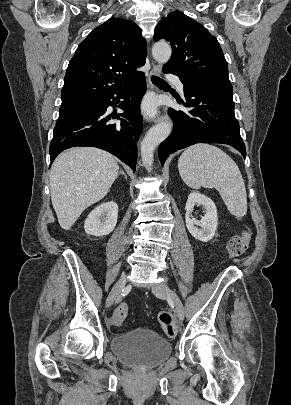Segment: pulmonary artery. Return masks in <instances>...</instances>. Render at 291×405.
<instances>
[{"instance_id": "1", "label": "pulmonary artery", "mask_w": 291, "mask_h": 405, "mask_svg": "<svg viewBox=\"0 0 291 405\" xmlns=\"http://www.w3.org/2000/svg\"><path fill=\"white\" fill-rule=\"evenodd\" d=\"M166 77L168 80L172 81L176 85L180 93L182 94L184 93V85L177 76L173 74H168Z\"/></svg>"}]
</instances>
